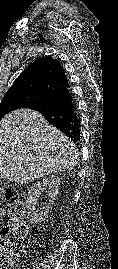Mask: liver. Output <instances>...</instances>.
I'll return each mask as SVG.
<instances>
[{
    "instance_id": "obj_1",
    "label": "liver",
    "mask_w": 118,
    "mask_h": 269,
    "mask_svg": "<svg viewBox=\"0 0 118 269\" xmlns=\"http://www.w3.org/2000/svg\"><path fill=\"white\" fill-rule=\"evenodd\" d=\"M75 144L34 110L19 109L0 120V180L28 184L78 163Z\"/></svg>"
}]
</instances>
